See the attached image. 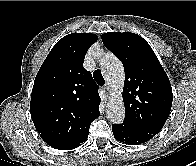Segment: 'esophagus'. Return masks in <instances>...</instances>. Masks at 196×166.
<instances>
[{
    "label": "esophagus",
    "mask_w": 196,
    "mask_h": 166,
    "mask_svg": "<svg viewBox=\"0 0 196 166\" xmlns=\"http://www.w3.org/2000/svg\"><path fill=\"white\" fill-rule=\"evenodd\" d=\"M103 89L106 91V93L108 94V91H109V86H108V84H105L104 86H103Z\"/></svg>",
    "instance_id": "1"
}]
</instances>
